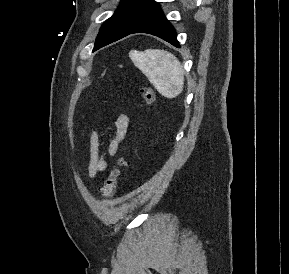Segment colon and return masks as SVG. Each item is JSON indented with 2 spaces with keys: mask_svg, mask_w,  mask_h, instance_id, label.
Returning a JSON list of instances; mask_svg holds the SVG:
<instances>
[{
  "mask_svg": "<svg viewBox=\"0 0 289 274\" xmlns=\"http://www.w3.org/2000/svg\"><path fill=\"white\" fill-rule=\"evenodd\" d=\"M140 93L144 99L147 108H151L155 103V93L150 87H141ZM127 166V161L122 155L118 157L110 169L105 183L101 189V194L104 198H110L116 190L121 169Z\"/></svg>",
  "mask_w": 289,
  "mask_h": 274,
  "instance_id": "5ec220e1",
  "label": "colon"
}]
</instances>
